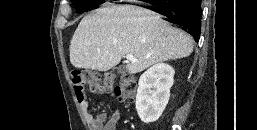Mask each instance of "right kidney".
<instances>
[{
  "label": "right kidney",
  "mask_w": 257,
  "mask_h": 130,
  "mask_svg": "<svg viewBox=\"0 0 257 130\" xmlns=\"http://www.w3.org/2000/svg\"><path fill=\"white\" fill-rule=\"evenodd\" d=\"M174 73L170 65L159 63L141 75L135 104L142 122H155L162 115L169 101Z\"/></svg>",
  "instance_id": "ca27d5eb"
}]
</instances>
